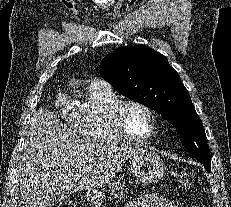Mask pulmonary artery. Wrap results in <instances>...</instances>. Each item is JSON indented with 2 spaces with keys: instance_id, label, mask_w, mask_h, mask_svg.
<instances>
[{
  "instance_id": "1",
  "label": "pulmonary artery",
  "mask_w": 231,
  "mask_h": 207,
  "mask_svg": "<svg viewBox=\"0 0 231 207\" xmlns=\"http://www.w3.org/2000/svg\"><path fill=\"white\" fill-rule=\"evenodd\" d=\"M106 85L109 84L102 79H94L90 83V86H106Z\"/></svg>"
}]
</instances>
